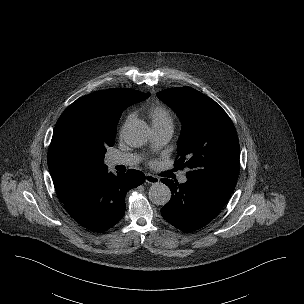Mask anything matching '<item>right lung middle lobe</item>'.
I'll return each mask as SVG.
<instances>
[{
	"label": "right lung middle lobe",
	"mask_w": 304,
	"mask_h": 304,
	"mask_svg": "<svg viewBox=\"0 0 304 304\" xmlns=\"http://www.w3.org/2000/svg\"><path fill=\"white\" fill-rule=\"evenodd\" d=\"M131 104L132 103L126 105V107L129 106V105H131ZM118 119H119V117H117L114 120V122L112 123L111 130H110V133H109L108 141L106 143L103 142V141L100 142V148H101V150L103 151L104 154L106 153V147L113 146V144H114L115 134H116V125H117Z\"/></svg>",
	"instance_id": "obj_1"
}]
</instances>
